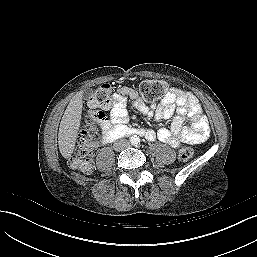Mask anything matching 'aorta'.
<instances>
[{"instance_id": "obj_1", "label": "aorta", "mask_w": 257, "mask_h": 257, "mask_svg": "<svg viewBox=\"0 0 257 257\" xmlns=\"http://www.w3.org/2000/svg\"><path fill=\"white\" fill-rule=\"evenodd\" d=\"M138 141H139L138 137H132L131 138V142L134 143V144H136Z\"/></svg>"}]
</instances>
